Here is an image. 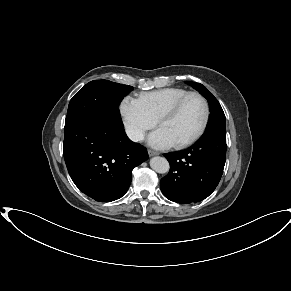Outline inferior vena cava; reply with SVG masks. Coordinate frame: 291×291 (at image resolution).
<instances>
[{"instance_id":"obj_1","label":"inferior vena cava","mask_w":291,"mask_h":291,"mask_svg":"<svg viewBox=\"0 0 291 291\" xmlns=\"http://www.w3.org/2000/svg\"><path fill=\"white\" fill-rule=\"evenodd\" d=\"M126 134L134 142L141 141L144 139L143 132L135 127H128L126 129Z\"/></svg>"}]
</instances>
